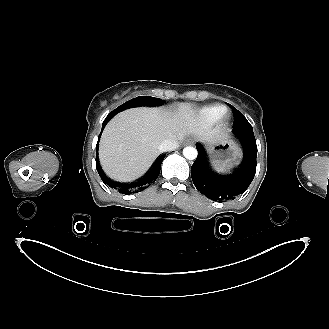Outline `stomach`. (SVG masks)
Here are the masks:
<instances>
[{"label":"stomach","instance_id":"obj_1","mask_svg":"<svg viewBox=\"0 0 329 329\" xmlns=\"http://www.w3.org/2000/svg\"><path fill=\"white\" fill-rule=\"evenodd\" d=\"M208 151L214 165L220 170L238 165L241 159L239 147L229 139L211 143Z\"/></svg>","mask_w":329,"mask_h":329}]
</instances>
